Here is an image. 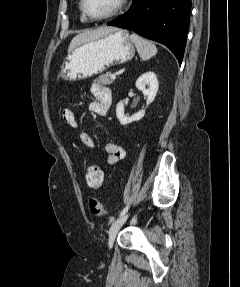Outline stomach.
I'll return each mask as SVG.
<instances>
[{
  "instance_id": "0dacf381",
  "label": "stomach",
  "mask_w": 240,
  "mask_h": 287,
  "mask_svg": "<svg viewBox=\"0 0 240 287\" xmlns=\"http://www.w3.org/2000/svg\"><path fill=\"white\" fill-rule=\"evenodd\" d=\"M134 54L135 48L128 31L117 28L71 50L59 74L66 81L86 79L112 65L129 61Z\"/></svg>"
}]
</instances>
